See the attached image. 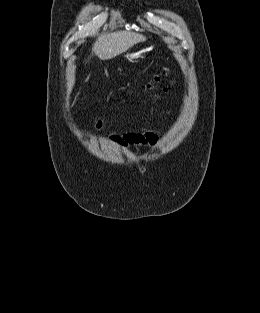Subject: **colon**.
<instances>
[{
  "mask_svg": "<svg viewBox=\"0 0 260 313\" xmlns=\"http://www.w3.org/2000/svg\"><path fill=\"white\" fill-rule=\"evenodd\" d=\"M161 81V76H155L146 86V89H153Z\"/></svg>",
  "mask_w": 260,
  "mask_h": 313,
  "instance_id": "colon-1",
  "label": "colon"
}]
</instances>
